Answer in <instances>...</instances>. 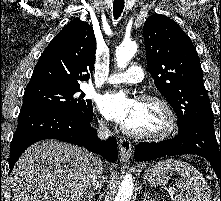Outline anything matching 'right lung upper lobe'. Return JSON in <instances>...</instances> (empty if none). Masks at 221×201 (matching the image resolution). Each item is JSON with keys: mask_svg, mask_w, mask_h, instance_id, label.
<instances>
[{"mask_svg": "<svg viewBox=\"0 0 221 201\" xmlns=\"http://www.w3.org/2000/svg\"><path fill=\"white\" fill-rule=\"evenodd\" d=\"M95 51L93 28L74 19L46 47L26 88H80L79 82L88 81L94 69Z\"/></svg>", "mask_w": 221, "mask_h": 201, "instance_id": "right-lung-upper-lobe-1", "label": "right lung upper lobe"}]
</instances>
